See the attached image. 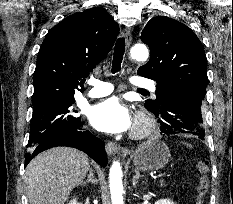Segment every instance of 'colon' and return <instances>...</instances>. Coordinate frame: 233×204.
Here are the masks:
<instances>
[{"mask_svg":"<svg viewBox=\"0 0 233 204\" xmlns=\"http://www.w3.org/2000/svg\"><path fill=\"white\" fill-rule=\"evenodd\" d=\"M196 173L199 177L196 204H203L204 197L210 189L209 165L206 160L198 161L196 164Z\"/></svg>","mask_w":233,"mask_h":204,"instance_id":"colon-1","label":"colon"}]
</instances>
